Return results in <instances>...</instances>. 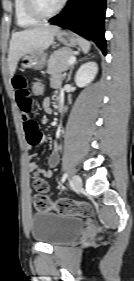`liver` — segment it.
I'll return each instance as SVG.
<instances>
[{
    "label": "liver",
    "mask_w": 134,
    "mask_h": 281,
    "mask_svg": "<svg viewBox=\"0 0 134 281\" xmlns=\"http://www.w3.org/2000/svg\"><path fill=\"white\" fill-rule=\"evenodd\" d=\"M60 28L51 25H39L12 34L8 53V66L13 76L19 59L29 53H43L53 43Z\"/></svg>",
    "instance_id": "obj_1"
}]
</instances>
